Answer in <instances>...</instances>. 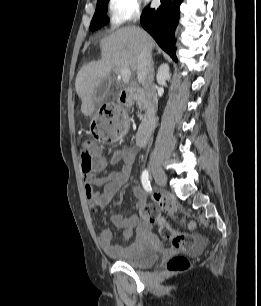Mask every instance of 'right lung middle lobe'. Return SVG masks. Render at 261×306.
Wrapping results in <instances>:
<instances>
[{"instance_id": "dd1d6c3e", "label": "right lung middle lobe", "mask_w": 261, "mask_h": 306, "mask_svg": "<svg viewBox=\"0 0 261 306\" xmlns=\"http://www.w3.org/2000/svg\"><path fill=\"white\" fill-rule=\"evenodd\" d=\"M108 1L109 0H97L96 11L91 21L89 30H97L109 22V18L106 17Z\"/></svg>"}]
</instances>
